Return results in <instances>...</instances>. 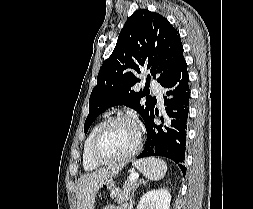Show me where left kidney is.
Segmentation results:
<instances>
[{
	"label": "left kidney",
	"instance_id": "1",
	"mask_svg": "<svg viewBox=\"0 0 253 209\" xmlns=\"http://www.w3.org/2000/svg\"><path fill=\"white\" fill-rule=\"evenodd\" d=\"M171 195L166 189L151 190L142 196L137 209H170Z\"/></svg>",
	"mask_w": 253,
	"mask_h": 209
}]
</instances>
